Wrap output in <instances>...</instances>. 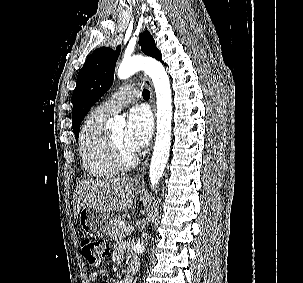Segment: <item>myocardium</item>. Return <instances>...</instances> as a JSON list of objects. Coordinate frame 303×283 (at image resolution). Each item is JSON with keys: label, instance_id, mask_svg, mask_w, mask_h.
Masks as SVG:
<instances>
[{"label": "myocardium", "instance_id": "1", "mask_svg": "<svg viewBox=\"0 0 303 283\" xmlns=\"http://www.w3.org/2000/svg\"><path fill=\"white\" fill-rule=\"evenodd\" d=\"M107 141L112 161L118 170H128L135 167L137 157L134 154L126 155L113 138L111 132L107 133Z\"/></svg>", "mask_w": 303, "mask_h": 283}]
</instances>
